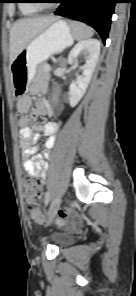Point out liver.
I'll return each instance as SVG.
<instances>
[{
  "mask_svg": "<svg viewBox=\"0 0 136 296\" xmlns=\"http://www.w3.org/2000/svg\"><path fill=\"white\" fill-rule=\"evenodd\" d=\"M57 19L54 16H44L18 20L10 30V61L13 62L37 35Z\"/></svg>",
  "mask_w": 136,
  "mask_h": 296,
  "instance_id": "liver-1",
  "label": "liver"
}]
</instances>
